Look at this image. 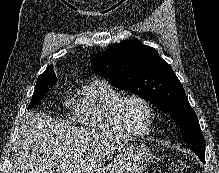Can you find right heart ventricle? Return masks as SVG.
<instances>
[{
	"label": "right heart ventricle",
	"instance_id": "1",
	"mask_svg": "<svg viewBox=\"0 0 219 173\" xmlns=\"http://www.w3.org/2000/svg\"><path fill=\"white\" fill-rule=\"evenodd\" d=\"M121 93L101 79L84 85L70 104L73 118L81 126L108 135H129L116 124L112 108Z\"/></svg>",
	"mask_w": 219,
	"mask_h": 173
}]
</instances>
